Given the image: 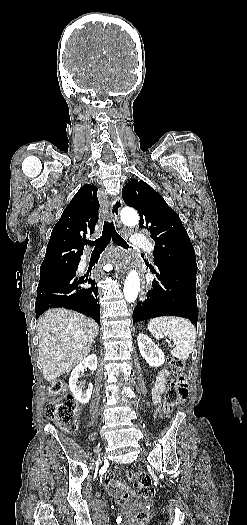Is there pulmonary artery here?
<instances>
[{"label":"pulmonary artery","instance_id":"pulmonary-artery-1","mask_svg":"<svg viewBox=\"0 0 247 525\" xmlns=\"http://www.w3.org/2000/svg\"><path fill=\"white\" fill-rule=\"evenodd\" d=\"M130 242L136 246H142L147 253L148 259H155V243L149 236H132ZM81 261H86V259L83 258ZM153 263H156V260H153Z\"/></svg>","mask_w":247,"mask_h":525}]
</instances>
